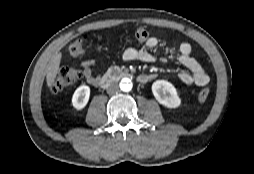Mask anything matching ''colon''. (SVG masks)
<instances>
[{
    "label": "colon",
    "instance_id": "5ec220e1",
    "mask_svg": "<svg viewBox=\"0 0 254 174\" xmlns=\"http://www.w3.org/2000/svg\"><path fill=\"white\" fill-rule=\"evenodd\" d=\"M152 31L146 27H137L133 29L124 30L121 32V37L135 40L137 42H144L150 38ZM88 39L87 36H83L73 41L69 46V52L73 57L81 56L85 50V43ZM81 78V72L74 68H60L54 77L50 91L53 94H57L67 87L75 84ZM210 95V89L205 87L200 90L198 94V100L204 102Z\"/></svg>",
    "mask_w": 254,
    "mask_h": 174
}]
</instances>
